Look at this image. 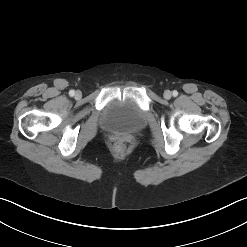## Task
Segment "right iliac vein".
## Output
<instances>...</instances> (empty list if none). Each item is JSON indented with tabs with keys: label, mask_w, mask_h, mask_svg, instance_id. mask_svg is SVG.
Returning <instances> with one entry per match:
<instances>
[{
	"label": "right iliac vein",
	"mask_w": 247,
	"mask_h": 247,
	"mask_svg": "<svg viewBox=\"0 0 247 247\" xmlns=\"http://www.w3.org/2000/svg\"><path fill=\"white\" fill-rule=\"evenodd\" d=\"M81 96H82V94H81L80 91H77V92L75 93V98H76V99L81 98Z\"/></svg>",
	"instance_id": "obj_1"
}]
</instances>
